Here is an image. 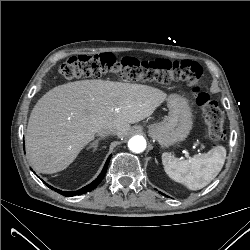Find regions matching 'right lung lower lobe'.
Returning <instances> with one entry per match:
<instances>
[{"mask_svg": "<svg viewBox=\"0 0 250 250\" xmlns=\"http://www.w3.org/2000/svg\"><path fill=\"white\" fill-rule=\"evenodd\" d=\"M110 158H111V155L107 159L105 166H104L102 172L100 173V175L92 183L86 185L85 187H83L77 191H61V190L54 189V187H52L50 185H48V187L51 188L52 190L54 189V191H56L60 194H63L64 196H67V197L74 196V195H81V194H84L86 192H89V191L95 189L98 186V184L102 181V179L104 178Z\"/></svg>", "mask_w": 250, "mask_h": 250, "instance_id": "obj_1", "label": "right lung lower lobe"}]
</instances>
